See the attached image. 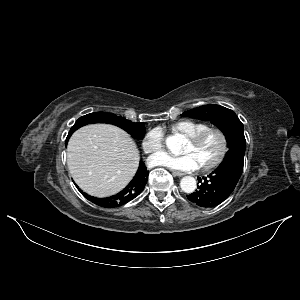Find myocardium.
<instances>
[{"label":"myocardium","mask_w":300,"mask_h":300,"mask_svg":"<svg viewBox=\"0 0 300 300\" xmlns=\"http://www.w3.org/2000/svg\"><path fill=\"white\" fill-rule=\"evenodd\" d=\"M210 131H216L221 138V150L218 154V156L212 160L211 162L199 166V169L201 171H210L215 168H217L225 159L228 149H229V141H228V136L225 132V130L218 126V125H207L195 134L186 137L187 141L191 144H197L208 132Z\"/></svg>","instance_id":"f54148a6"}]
</instances>
